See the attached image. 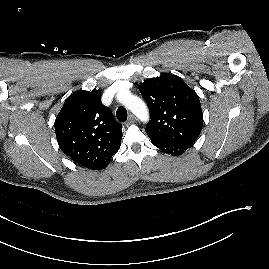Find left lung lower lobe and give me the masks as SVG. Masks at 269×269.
I'll use <instances>...</instances> for the list:
<instances>
[{
	"mask_svg": "<svg viewBox=\"0 0 269 269\" xmlns=\"http://www.w3.org/2000/svg\"><path fill=\"white\" fill-rule=\"evenodd\" d=\"M152 143L156 147L161 149L162 151L173 156L181 155L183 154L184 151H186L188 148L193 146V144H188V143L174 144V143H163V142H156V141H152Z\"/></svg>",
	"mask_w": 269,
	"mask_h": 269,
	"instance_id": "obj_1",
	"label": "left lung lower lobe"
}]
</instances>
